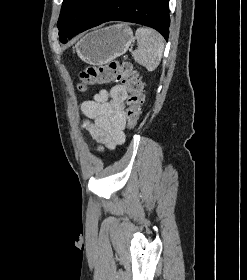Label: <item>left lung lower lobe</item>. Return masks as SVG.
<instances>
[{"label":"left lung lower lobe","mask_w":247,"mask_h":280,"mask_svg":"<svg viewBox=\"0 0 247 280\" xmlns=\"http://www.w3.org/2000/svg\"><path fill=\"white\" fill-rule=\"evenodd\" d=\"M169 0H102L88 14L80 27L65 34L61 41L72 38L104 22L119 20L156 29L167 40L169 36Z\"/></svg>","instance_id":"0a47b994"}]
</instances>
